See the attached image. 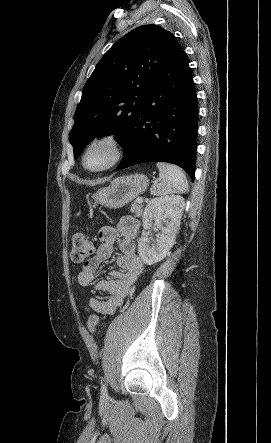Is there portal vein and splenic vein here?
<instances>
[{"mask_svg":"<svg viewBox=\"0 0 271 443\" xmlns=\"http://www.w3.org/2000/svg\"><path fill=\"white\" fill-rule=\"evenodd\" d=\"M136 202H138V204H143L142 198H137Z\"/></svg>","mask_w":271,"mask_h":443,"instance_id":"portal-vein-and-splenic-vein-1","label":"portal vein and splenic vein"}]
</instances>
